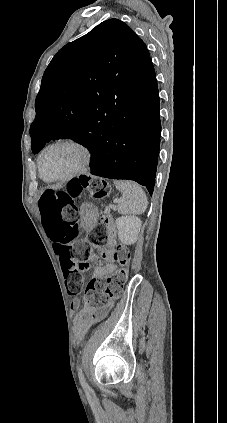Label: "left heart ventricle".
I'll use <instances>...</instances> for the list:
<instances>
[{"label": "left heart ventricle", "instance_id": "b2bd125f", "mask_svg": "<svg viewBox=\"0 0 227 423\" xmlns=\"http://www.w3.org/2000/svg\"><path fill=\"white\" fill-rule=\"evenodd\" d=\"M83 160L82 152L71 145H59L49 149L43 156L44 173L49 177L67 174L76 169Z\"/></svg>", "mask_w": 227, "mask_h": 423}]
</instances>
